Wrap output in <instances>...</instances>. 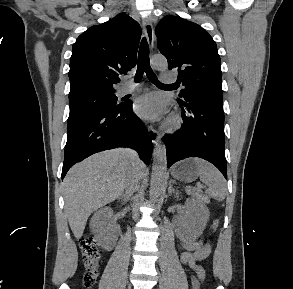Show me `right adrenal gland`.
<instances>
[{
	"instance_id": "right-adrenal-gland-1",
	"label": "right adrenal gland",
	"mask_w": 293,
	"mask_h": 289,
	"mask_svg": "<svg viewBox=\"0 0 293 289\" xmlns=\"http://www.w3.org/2000/svg\"><path fill=\"white\" fill-rule=\"evenodd\" d=\"M129 195H126V194H123L120 199L123 200V201H127L129 199Z\"/></svg>"
}]
</instances>
